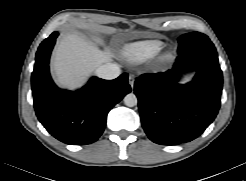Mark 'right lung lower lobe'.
<instances>
[{
  "label": "right lung lower lobe",
  "mask_w": 246,
  "mask_h": 181,
  "mask_svg": "<svg viewBox=\"0 0 246 181\" xmlns=\"http://www.w3.org/2000/svg\"><path fill=\"white\" fill-rule=\"evenodd\" d=\"M58 32L39 46L31 76L34 108L46 130L70 145L95 142L102 134L110 109L131 91L128 74L114 80L97 77L72 92L58 88L49 73V58Z\"/></svg>",
  "instance_id": "obj_1"
}]
</instances>
